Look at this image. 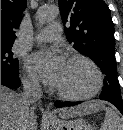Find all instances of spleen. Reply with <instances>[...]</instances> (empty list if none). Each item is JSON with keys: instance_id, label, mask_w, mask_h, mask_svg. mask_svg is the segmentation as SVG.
Masks as SVG:
<instances>
[{"instance_id": "3e777b00", "label": "spleen", "mask_w": 123, "mask_h": 130, "mask_svg": "<svg viewBox=\"0 0 123 130\" xmlns=\"http://www.w3.org/2000/svg\"><path fill=\"white\" fill-rule=\"evenodd\" d=\"M105 118L100 130H123V123L119 115L112 109H105Z\"/></svg>"}]
</instances>
